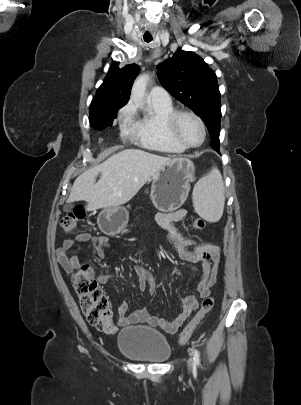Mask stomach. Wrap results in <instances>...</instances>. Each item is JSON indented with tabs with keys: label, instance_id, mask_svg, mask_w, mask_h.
I'll list each match as a JSON object with an SVG mask.
<instances>
[{
	"label": "stomach",
	"instance_id": "1",
	"mask_svg": "<svg viewBox=\"0 0 301 405\" xmlns=\"http://www.w3.org/2000/svg\"><path fill=\"white\" fill-rule=\"evenodd\" d=\"M195 179V166L188 157L169 159L153 176L150 198L154 206L163 212L180 208L188 197L190 183ZM128 213L122 208H108L98 217L110 234L121 232L127 224Z\"/></svg>",
	"mask_w": 301,
	"mask_h": 405
}]
</instances>
